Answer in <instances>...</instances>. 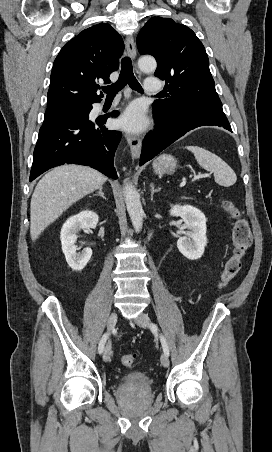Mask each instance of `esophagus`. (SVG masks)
Wrapping results in <instances>:
<instances>
[{
  "instance_id": "obj_1",
  "label": "esophagus",
  "mask_w": 272,
  "mask_h": 452,
  "mask_svg": "<svg viewBox=\"0 0 272 452\" xmlns=\"http://www.w3.org/2000/svg\"><path fill=\"white\" fill-rule=\"evenodd\" d=\"M126 50L128 55L134 59L136 57V48L134 39L131 35L126 37L125 40ZM126 140L130 146L131 155L133 158H138L141 152L142 141L137 136L126 135Z\"/></svg>"
}]
</instances>
